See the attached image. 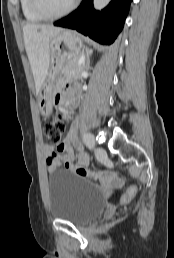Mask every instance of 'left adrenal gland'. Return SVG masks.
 Here are the masks:
<instances>
[{
    "instance_id": "1",
    "label": "left adrenal gland",
    "mask_w": 174,
    "mask_h": 258,
    "mask_svg": "<svg viewBox=\"0 0 174 258\" xmlns=\"http://www.w3.org/2000/svg\"><path fill=\"white\" fill-rule=\"evenodd\" d=\"M92 50L91 49H88L86 48L85 49V55H86V63H85V67L89 68V65H90V55L92 54Z\"/></svg>"
}]
</instances>
